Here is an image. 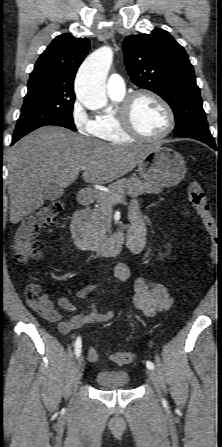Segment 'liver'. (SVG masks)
<instances>
[{
  "label": "liver",
  "mask_w": 222,
  "mask_h": 447,
  "mask_svg": "<svg viewBox=\"0 0 222 447\" xmlns=\"http://www.w3.org/2000/svg\"><path fill=\"white\" fill-rule=\"evenodd\" d=\"M153 147L112 145L58 126L33 131L7 154L10 222L16 224L43 206L49 185L68 187L81 170L87 183H110L133 170Z\"/></svg>",
  "instance_id": "liver-1"
}]
</instances>
